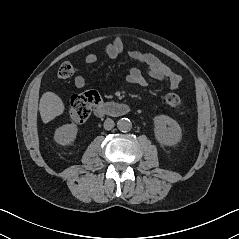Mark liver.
Segmentation results:
<instances>
[{
    "instance_id": "1",
    "label": "liver",
    "mask_w": 239,
    "mask_h": 239,
    "mask_svg": "<svg viewBox=\"0 0 239 239\" xmlns=\"http://www.w3.org/2000/svg\"><path fill=\"white\" fill-rule=\"evenodd\" d=\"M64 103L61 98L53 92H45L39 103V111L41 119L44 123H48L55 117L64 112Z\"/></svg>"
}]
</instances>
